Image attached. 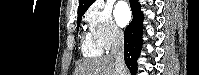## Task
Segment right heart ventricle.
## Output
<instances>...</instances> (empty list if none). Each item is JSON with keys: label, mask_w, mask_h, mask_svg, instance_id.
Listing matches in <instances>:
<instances>
[{"label": "right heart ventricle", "mask_w": 199, "mask_h": 75, "mask_svg": "<svg viewBox=\"0 0 199 75\" xmlns=\"http://www.w3.org/2000/svg\"><path fill=\"white\" fill-rule=\"evenodd\" d=\"M82 51L85 56L95 57L102 53V48L97 44L91 33H86L82 40Z\"/></svg>", "instance_id": "right-heart-ventricle-1"}]
</instances>
